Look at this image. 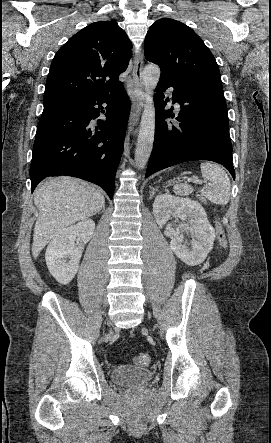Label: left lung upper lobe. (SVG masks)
I'll return each mask as SVG.
<instances>
[{"label": "left lung upper lobe", "instance_id": "obj_1", "mask_svg": "<svg viewBox=\"0 0 271 443\" xmlns=\"http://www.w3.org/2000/svg\"><path fill=\"white\" fill-rule=\"evenodd\" d=\"M144 54L161 71L222 86L214 56L203 40L179 21L162 18L152 24L145 38Z\"/></svg>", "mask_w": 271, "mask_h": 443}]
</instances>
